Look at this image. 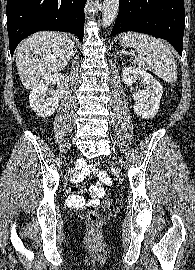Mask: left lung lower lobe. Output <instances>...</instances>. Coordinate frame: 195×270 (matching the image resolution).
Instances as JSON below:
<instances>
[{
    "label": "left lung lower lobe",
    "instance_id": "left-lung-lower-lobe-1",
    "mask_svg": "<svg viewBox=\"0 0 195 270\" xmlns=\"http://www.w3.org/2000/svg\"><path fill=\"white\" fill-rule=\"evenodd\" d=\"M184 0H121L111 32L135 31L167 40L182 55Z\"/></svg>",
    "mask_w": 195,
    "mask_h": 270
}]
</instances>
